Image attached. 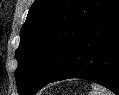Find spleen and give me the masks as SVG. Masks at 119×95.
Returning <instances> with one entry per match:
<instances>
[{
    "label": "spleen",
    "instance_id": "1",
    "mask_svg": "<svg viewBox=\"0 0 119 95\" xmlns=\"http://www.w3.org/2000/svg\"><path fill=\"white\" fill-rule=\"evenodd\" d=\"M91 87L92 91L90 95H113V93L110 90L106 89L105 87L99 84L93 83Z\"/></svg>",
    "mask_w": 119,
    "mask_h": 95
}]
</instances>
